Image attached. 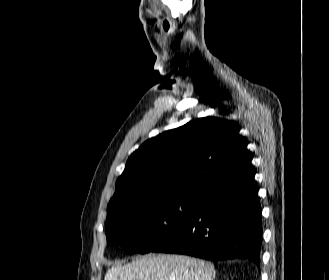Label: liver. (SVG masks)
I'll use <instances>...</instances> for the list:
<instances>
[{
	"label": "liver",
	"mask_w": 329,
	"mask_h": 280,
	"mask_svg": "<svg viewBox=\"0 0 329 280\" xmlns=\"http://www.w3.org/2000/svg\"><path fill=\"white\" fill-rule=\"evenodd\" d=\"M214 266L185 255L148 254L131 263H117L104 280H213Z\"/></svg>",
	"instance_id": "6515ba94"
}]
</instances>
